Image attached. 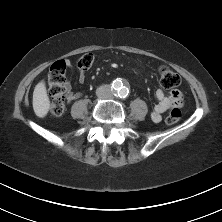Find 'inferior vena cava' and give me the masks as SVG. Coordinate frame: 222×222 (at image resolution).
Here are the masks:
<instances>
[{"instance_id":"1","label":"inferior vena cava","mask_w":222,"mask_h":222,"mask_svg":"<svg viewBox=\"0 0 222 222\" xmlns=\"http://www.w3.org/2000/svg\"><path fill=\"white\" fill-rule=\"evenodd\" d=\"M96 95L102 99H110L113 97V92L109 85H102L97 88Z\"/></svg>"}]
</instances>
